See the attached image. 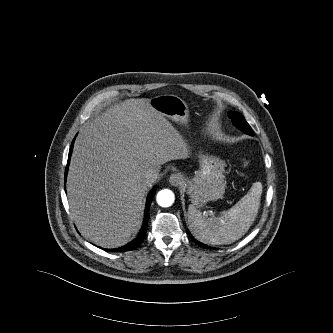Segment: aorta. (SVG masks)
Listing matches in <instances>:
<instances>
[{
  "instance_id": "aorta-1",
  "label": "aorta",
  "mask_w": 333,
  "mask_h": 333,
  "mask_svg": "<svg viewBox=\"0 0 333 333\" xmlns=\"http://www.w3.org/2000/svg\"><path fill=\"white\" fill-rule=\"evenodd\" d=\"M156 200L161 207H169L173 204L175 196L171 190L163 189L158 192Z\"/></svg>"
}]
</instances>
